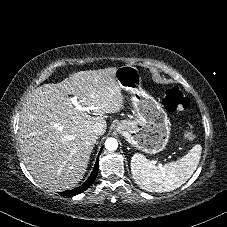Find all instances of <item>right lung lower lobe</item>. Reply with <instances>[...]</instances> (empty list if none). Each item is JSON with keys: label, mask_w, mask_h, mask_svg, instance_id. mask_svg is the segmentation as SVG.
<instances>
[{"label": "right lung lower lobe", "mask_w": 227, "mask_h": 227, "mask_svg": "<svg viewBox=\"0 0 227 227\" xmlns=\"http://www.w3.org/2000/svg\"><path fill=\"white\" fill-rule=\"evenodd\" d=\"M100 153H101V151H100ZM100 153H99V155H100ZM98 168H99V156H98V158L96 160L94 169H93L90 177L86 180V182L83 185H81V186H79V187H77V188H75L73 190H69V191H66V192H59V194L60 195H66V196L67 195L73 196V195H77L79 193H82L87 188H89L93 184V182L95 181L97 173H98Z\"/></svg>", "instance_id": "obj_1"}]
</instances>
